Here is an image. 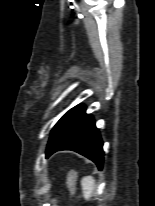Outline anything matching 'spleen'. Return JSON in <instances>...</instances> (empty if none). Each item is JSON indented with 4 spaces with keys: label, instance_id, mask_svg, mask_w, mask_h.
Wrapping results in <instances>:
<instances>
[{
    "label": "spleen",
    "instance_id": "1",
    "mask_svg": "<svg viewBox=\"0 0 155 206\" xmlns=\"http://www.w3.org/2000/svg\"><path fill=\"white\" fill-rule=\"evenodd\" d=\"M81 186L84 198L89 200L96 187L95 179L92 176H85L81 179Z\"/></svg>",
    "mask_w": 155,
    "mask_h": 206
}]
</instances>
